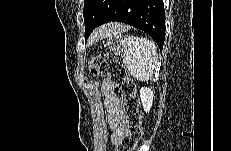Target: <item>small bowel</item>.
Segmentation results:
<instances>
[{"instance_id": "c3829d8e", "label": "small bowel", "mask_w": 231, "mask_h": 151, "mask_svg": "<svg viewBox=\"0 0 231 151\" xmlns=\"http://www.w3.org/2000/svg\"><path fill=\"white\" fill-rule=\"evenodd\" d=\"M112 84L109 79L104 81L106 91L105 105L108 111V120L113 130L112 142L115 144L119 138L126 132V123L119 105V101L111 92Z\"/></svg>"}]
</instances>
